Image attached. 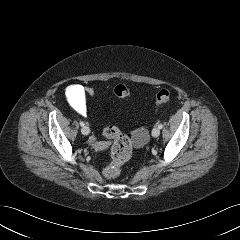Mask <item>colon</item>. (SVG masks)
<instances>
[{"mask_svg": "<svg viewBox=\"0 0 240 240\" xmlns=\"http://www.w3.org/2000/svg\"><path fill=\"white\" fill-rule=\"evenodd\" d=\"M85 93L87 96L93 97L95 89L86 86ZM114 94L117 98L123 99L130 95V89L120 84L114 88ZM171 98L170 90H160L156 95V106L159 107L169 103ZM103 135L112 140L111 161L104 167L103 174L108 179H115L120 175L122 166L131 158L132 143L130 138L115 126H106L103 129Z\"/></svg>", "mask_w": 240, "mask_h": 240, "instance_id": "colon-1", "label": "colon"}]
</instances>
